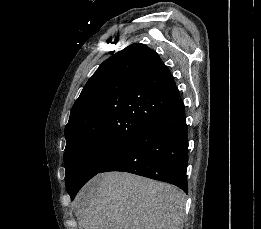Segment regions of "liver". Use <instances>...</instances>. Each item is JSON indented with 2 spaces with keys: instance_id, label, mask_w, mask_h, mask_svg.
I'll return each instance as SVG.
<instances>
[{
  "instance_id": "liver-1",
  "label": "liver",
  "mask_w": 261,
  "mask_h": 229,
  "mask_svg": "<svg viewBox=\"0 0 261 229\" xmlns=\"http://www.w3.org/2000/svg\"><path fill=\"white\" fill-rule=\"evenodd\" d=\"M185 195L130 173H102L74 201L79 229H182Z\"/></svg>"
}]
</instances>
